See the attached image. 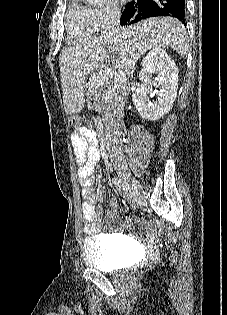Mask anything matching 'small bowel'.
Masks as SVG:
<instances>
[{
    "label": "small bowel",
    "mask_w": 227,
    "mask_h": 315,
    "mask_svg": "<svg viewBox=\"0 0 227 315\" xmlns=\"http://www.w3.org/2000/svg\"><path fill=\"white\" fill-rule=\"evenodd\" d=\"M70 142L72 150L75 155L77 164V175L80 186L82 188V215L84 220L83 230L87 235H95L99 232V227L96 223L98 211L95 206V190L94 170L96 164L101 158L99 142L94 131L88 128H81L71 134ZM118 202L111 200L110 208L106 210L105 214L112 219L116 216L118 210ZM140 224H143L139 221ZM154 232L149 230L146 233L147 237H152Z\"/></svg>",
    "instance_id": "1"
}]
</instances>
